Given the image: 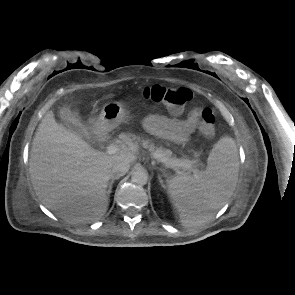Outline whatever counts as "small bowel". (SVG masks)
I'll return each mask as SVG.
<instances>
[{"mask_svg": "<svg viewBox=\"0 0 295 295\" xmlns=\"http://www.w3.org/2000/svg\"><path fill=\"white\" fill-rule=\"evenodd\" d=\"M201 112L190 111L185 119L168 118L163 115H150L145 119V127L151 133L173 142L182 143L194 131Z\"/></svg>", "mask_w": 295, "mask_h": 295, "instance_id": "1", "label": "small bowel"}]
</instances>
